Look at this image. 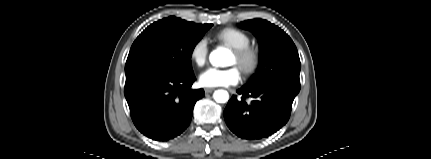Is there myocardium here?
<instances>
[{"instance_id":"myocardium-1","label":"myocardium","mask_w":431,"mask_h":159,"mask_svg":"<svg viewBox=\"0 0 431 159\" xmlns=\"http://www.w3.org/2000/svg\"><path fill=\"white\" fill-rule=\"evenodd\" d=\"M233 54L236 57L237 65L245 75L250 76L257 71L260 64V52L256 47L248 45L233 49Z\"/></svg>"}]
</instances>
